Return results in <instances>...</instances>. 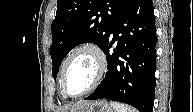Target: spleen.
I'll list each match as a JSON object with an SVG mask.
<instances>
[{
	"mask_svg": "<svg viewBox=\"0 0 193 112\" xmlns=\"http://www.w3.org/2000/svg\"><path fill=\"white\" fill-rule=\"evenodd\" d=\"M110 105L116 110V112H136L135 109L118 102L111 101Z\"/></svg>",
	"mask_w": 193,
	"mask_h": 112,
	"instance_id": "spleen-1",
	"label": "spleen"
}]
</instances>
